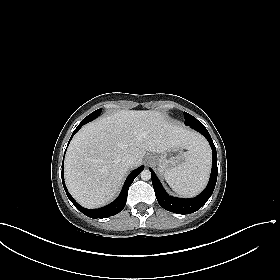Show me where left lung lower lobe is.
Wrapping results in <instances>:
<instances>
[{"label":"left lung lower lobe","mask_w":280,"mask_h":280,"mask_svg":"<svg viewBox=\"0 0 280 280\" xmlns=\"http://www.w3.org/2000/svg\"><path fill=\"white\" fill-rule=\"evenodd\" d=\"M193 129L197 130L200 132L202 135L206 137V139L209 141L210 146L212 148V171H211V176L209 183L205 190L199 194L195 198H190V199H181V198H176L169 196L164 188L162 187L160 181L156 177L154 171L150 169L152 173V184L155 190L156 198L158 203L166 210L177 213V214H190L193 213L197 210H199L210 198L212 195L215 185H216V180H217V174H218V168H217V154H216V148L213 143V140L208 133L207 129L203 124L198 125V126H193Z\"/></svg>","instance_id":"obj_1"}]
</instances>
